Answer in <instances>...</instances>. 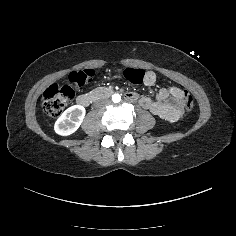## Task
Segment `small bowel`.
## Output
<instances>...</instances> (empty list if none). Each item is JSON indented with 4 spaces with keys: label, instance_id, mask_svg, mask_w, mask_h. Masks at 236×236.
<instances>
[{
    "label": "small bowel",
    "instance_id": "obj_1",
    "mask_svg": "<svg viewBox=\"0 0 236 236\" xmlns=\"http://www.w3.org/2000/svg\"><path fill=\"white\" fill-rule=\"evenodd\" d=\"M153 83H154V80H153L152 76L149 75L145 80V84L152 85ZM170 92L174 93L179 99H181L182 93H183L182 90H180L178 88H171Z\"/></svg>",
    "mask_w": 236,
    "mask_h": 236
}]
</instances>
